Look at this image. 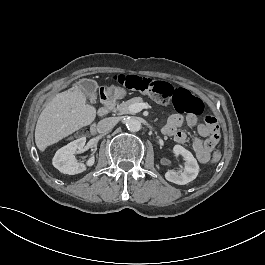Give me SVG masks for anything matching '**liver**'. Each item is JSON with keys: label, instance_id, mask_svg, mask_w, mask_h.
<instances>
[{"label": "liver", "instance_id": "obj_1", "mask_svg": "<svg viewBox=\"0 0 265 265\" xmlns=\"http://www.w3.org/2000/svg\"><path fill=\"white\" fill-rule=\"evenodd\" d=\"M96 108L86 103L77 84L57 93L40 113L35 127V144L40 152L90 126L96 119Z\"/></svg>", "mask_w": 265, "mask_h": 265}]
</instances>
